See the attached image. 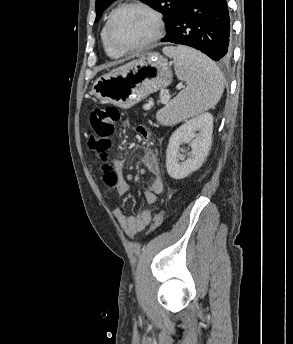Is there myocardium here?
Returning <instances> with one entry per match:
<instances>
[{"instance_id":"myocardium-1","label":"myocardium","mask_w":293,"mask_h":344,"mask_svg":"<svg viewBox=\"0 0 293 344\" xmlns=\"http://www.w3.org/2000/svg\"><path fill=\"white\" fill-rule=\"evenodd\" d=\"M128 8H137L148 13L150 17L152 18L154 28H153L152 34L144 42L137 44L135 46L122 47V46L117 45L113 40L112 25H113V21L116 15L122 10H125ZM163 31H164V22H163L162 15L150 5L138 0L127 1L119 5L118 7H116L110 13L107 23H106L107 42L113 50L121 54L133 53V52H138V51L147 49L148 47L156 43L162 37Z\"/></svg>"}]
</instances>
